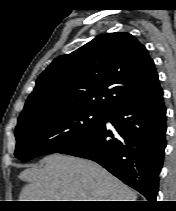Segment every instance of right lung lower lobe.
<instances>
[{
    "label": "right lung lower lobe",
    "mask_w": 176,
    "mask_h": 211,
    "mask_svg": "<svg viewBox=\"0 0 176 211\" xmlns=\"http://www.w3.org/2000/svg\"><path fill=\"white\" fill-rule=\"evenodd\" d=\"M107 122L114 129H109ZM166 128L159 86L144 98L108 111L99 126L58 152L96 161L153 202L163 165Z\"/></svg>",
    "instance_id": "98d812e1"
}]
</instances>
